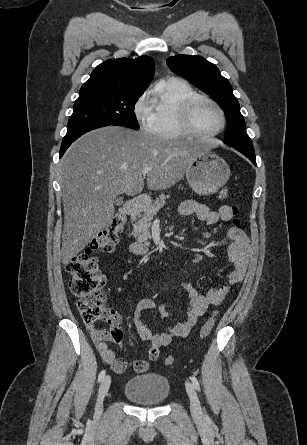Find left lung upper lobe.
Returning a JSON list of instances; mask_svg holds the SVG:
<instances>
[{
	"instance_id": "obj_1",
	"label": "left lung upper lobe",
	"mask_w": 307,
	"mask_h": 445,
	"mask_svg": "<svg viewBox=\"0 0 307 445\" xmlns=\"http://www.w3.org/2000/svg\"><path fill=\"white\" fill-rule=\"evenodd\" d=\"M167 65L173 72L183 76L194 86L210 95L223 109L227 121L224 143L229 146L253 149L232 87L214 64L199 55H177L169 57Z\"/></svg>"
}]
</instances>
